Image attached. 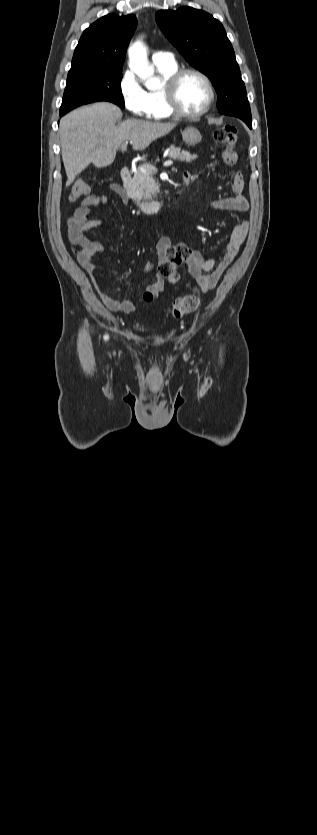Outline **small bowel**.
<instances>
[{
    "mask_svg": "<svg viewBox=\"0 0 317 835\" xmlns=\"http://www.w3.org/2000/svg\"><path fill=\"white\" fill-rule=\"evenodd\" d=\"M224 162L227 165H234L237 161V154L234 151H225L223 153ZM185 182L190 179V174H184ZM112 190L121 193V189L116 185H111ZM232 196L215 200L212 207L217 210L245 212L249 208L248 200L243 194L244 177L242 172L237 171L233 177L230 186ZM108 203L105 195L89 194L81 204L74 210L73 215L68 221V236L70 242L79 247L77 257L82 267L89 273L94 287L102 300L105 307L112 312L130 313L136 306V300L126 298L116 300L109 297L103 290L96 273V265L93 257L103 251L101 243L91 240L86 236V232L98 228L104 224L102 219H91L90 207L104 206ZM247 233V226L245 224L236 225L230 235L227 247L220 259L205 260L203 256L193 251L187 258H183L187 245L183 243H174L169 237L160 238L155 246L157 253V266L164 261H173L176 257H181L180 264H186L188 272L195 279L202 292H208L213 289L224 271L232 263L242 246ZM155 263L149 264L144 275H148ZM165 285V277L159 272L156 280L148 286V290L154 294L163 291ZM117 292H123L121 288H116Z\"/></svg>",
    "mask_w": 317,
    "mask_h": 835,
    "instance_id": "c3829d8e",
    "label": "small bowel"
}]
</instances>
